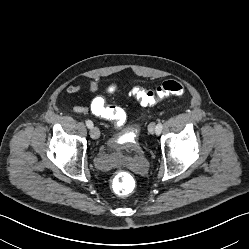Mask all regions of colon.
<instances>
[{
  "instance_id": "1",
  "label": "colon",
  "mask_w": 249,
  "mask_h": 249,
  "mask_svg": "<svg viewBox=\"0 0 249 249\" xmlns=\"http://www.w3.org/2000/svg\"><path fill=\"white\" fill-rule=\"evenodd\" d=\"M184 90L183 84L179 81L165 80L154 90L134 86L131 90V95L142 105L152 106L166 97L181 96ZM112 188L120 196L129 195L133 191V179L131 175L126 171H120L113 179Z\"/></svg>"
}]
</instances>
